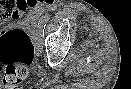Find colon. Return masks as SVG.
Instances as JSON below:
<instances>
[{
    "label": "colon",
    "instance_id": "obj_1",
    "mask_svg": "<svg viewBox=\"0 0 131 89\" xmlns=\"http://www.w3.org/2000/svg\"><path fill=\"white\" fill-rule=\"evenodd\" d=\"M31 1L0 0V23L14 18L20 11L33 7ZM34 59V46L28 34L11 30L0 37V72L2 84L18 89L28 75V66Z\"/></svg>",
    "mask_w": 131,
    "mask_h": 89
}]
</instances>
